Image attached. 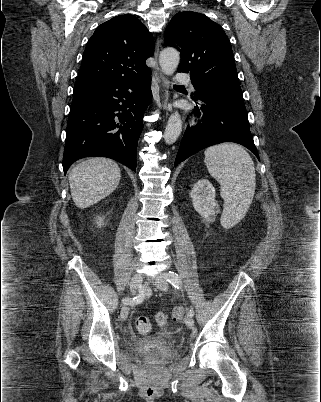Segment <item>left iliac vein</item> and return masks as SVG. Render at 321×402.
<instances>
[{
  "mask_svg": "<svg viewBox=\"0 0 321 402\" xmlns=\"http://www.w3.org/2000/svg\"><path fill=\"white\" fill-rule=\"evenodd\" d=\"M155 285L161 291H167L168 290L169 286H168V282L166 280V273H160L157 276ZM185 323L189 328H192L194 326V319L191 316H187L185 318Z\"/></svg>",
  "mask_w": 321,
  "mask_h": 402,
  "instance_id": "obj_1",
  "label": "left iliac vein"
}]
</instances>
